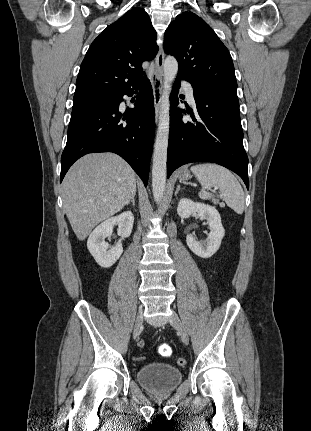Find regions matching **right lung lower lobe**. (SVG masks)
Wrapping results in <instances>:
<instances>
[{"label":"right lung lower lobe","instance_id":"right-lung-lower-lobe-1","mask_svg":"<svg viewBox=\"0 0 311 431\" xmlns=\"http://www.w3.org/2000/svg\"><path fill=\"white\" fill-rule=\"evenodd\" d=\"M138 87L139 84L133 89ZM133 89L74 101L61 157L60 182L78 158L87 153L109 151L122 156L147 185L155 132L153 92L149 80L145 79L135 107L122 118L119 105L123 95L131 96Z\"/></svg>","mask_w":311,"mask_h":431}]
</instances>
